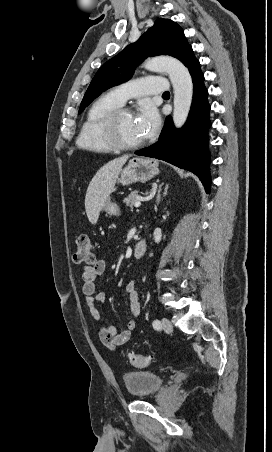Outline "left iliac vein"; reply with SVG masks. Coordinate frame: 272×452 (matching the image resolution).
Masks as SVG:
<instances>
[{"instance_id": "4c4485c4", "label": "left iliac vein", "mask_w": 272, "mask_h": 452, "mask_svg": "<svg viewBox=\"0 0 272 452\" xmlns=\"http://www.w3.org/2000/svg\"><path fill=\"white\" fill-rule=\"evenodd\" d=\"M162 329L167 333H171L173 331V326L169 319H162Z\"/></svg>"}]
</instances>
